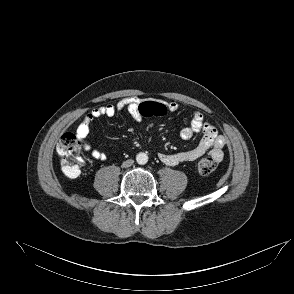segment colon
I'll use <instances>...</instances> for the list:
<instances>
[{
	"label": "colon",
	"mask_w": 294,
	"mask_h": 294,
	"mask_svg": "<svg viewBox=\"0 0 294 294\" xmlns=\"http://www.w3.org/2000/svg\"><path fill=\"white\" fill-rule=\"evenodd\" d=\"M133 114H139L143 117H158L166 114L165 107L154 101H145L140 103ZM57 154L62 161V172L69 178H75L80 173V153L82 150V142L74 133H65L59 140ZM217 168V161L207 156L198 162V172L202 176L212 174Z\"/></svg>",
	"instance_id": "5ec220e1"
}]
</instances>
